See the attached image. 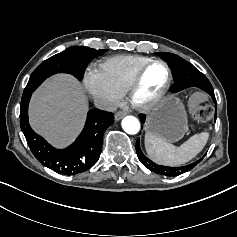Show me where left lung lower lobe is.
I'll return each mask as SVG.
<instances>
[{
  "mask_svg": "<svg viewBox=\"0 0 237 237\" xmlns=\"http://www.w3.org/2000/svg\"><path fill=\"white\" fill-rule=\"evenodd\" d=\"M207 93L211 95V97H212V99H213V101H214V103H215V116H214V118H215V120H216L217 102H216V98H215V96H214V90H213V89H212V90H208ZM140 116H144V115H140ZM140 116H139V117H140Z\"/></svg>",
  "mask_w": 237,
  "mask_h": 237,
  "instance_id": "obj_1",
  "label": "left lung lower lobe"
}]
</instances>
